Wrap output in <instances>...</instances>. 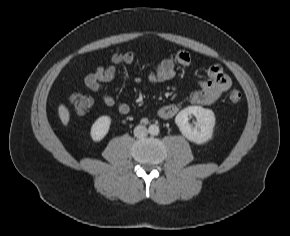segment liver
I'll return each mask as SVG.
<instances>
[{"label": "liver", "instance_id": "6515ba94", "mask_svg": "<svg viewBox=\"0 0 290 236\" xmlns=\"http://www.w3.org/2000/svg\"><path fill=\"white\" fill-rule=\"evenodd\" d=\"M58 114L63 125L67 126L70 120V114L65 105L60 104L58 107Z\"/></svg>", "mask_w": 290, "mask_h": 236}]
</instances>
